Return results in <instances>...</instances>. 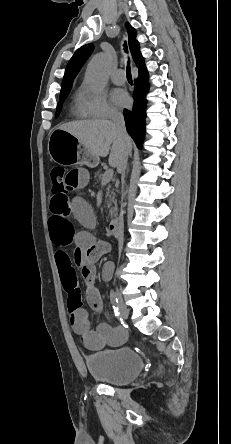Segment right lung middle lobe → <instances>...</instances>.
Returning a JSON list of instances; mask_svg holds the SVG:
<instances>
[{
  "mask_svg": "<svg viewBox=\"0 0 231 444\" xmlns=\"http://www.w3.org/2000/svg\"><path fill=\"white\" fill-rule=\"evenodd\" d=\"M69 91H70V89L60 92L59 103L57 105V110H56V117L58 116V114L61 110V105H62L64 99L66 98L67 94L69 93Z\"/></svg>",
  "mask_w": 231,
  "mask_h": 444,
  "instance_id": "dd1d6c3e",
  "label": "right lung middle lobe"
}]
</instances>
